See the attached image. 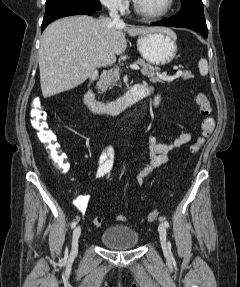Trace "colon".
<instances>
[{"mask_svg":"<svg viewBox=\"0 0 240 287\" xmlns=\"http://www.w3.org/2000/svg\"><path fill=\"white\" fill-rule=\"evenodd\" d=\"M196 103L198 105L200 114L203 116V120L201 123V135L197 139L195 143L190 146V153L195 154L203 145L206 138L211 134L214 129L215 121L210 116L211 113V103L209 98L204 93L196 94ZM46 111L41 105L39 100H34L32 103V108L30 110V124L31 127L36 132V136L38 140L46 146V148L50 151L51 156L55 162V164L62 170L67 169V162L65 156L58 150L56 143V136L52 130L49 129L48 124L46 122ZM159 217L158 211L150 212L146 219L149 222H153L157 220ZM117 220L124 222L127 220V217L124 215H118ZM92 223L95 227H100L103 223V219L101 217H94Z\"/></svg>","mask_w":240,"mask_h":287,"instance_id":"colon-1","label":"colon"}]
</instances>
